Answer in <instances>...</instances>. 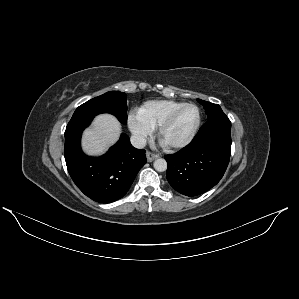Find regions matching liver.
I'll list each match as a JSON object with an SVG mask.
<instances>
[{
    "mask_svg": "<svg viewBox=\"0 0 299 299\" xmlns=\"http://www.w3.org/2000/svg\"><path fill=\"white\" fill-rule=\"evenodd\" d=\"M120 132L121 125L113 115H98L83 133V150L89 155H100L118 140Z\"/></svg>",
    "mask_w": 299,
    "mask_h": 299,
    "instance_id": "6515ba94",
    "label": "liver"
}]
</instances>
